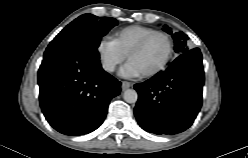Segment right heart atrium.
<instances>
[{
    "mask_svg": "<svg viewBox=\"0 0 248 158\" xmlns=\"http://www.w3.org/2000/svg\"><path fill=\"white\" fill-rule=\"evenodd\" d=\"M97 53L102 68L110 73L114 72L117 66L122 64L127 56L113 40L108 38L99 40L97 44Z\"/></svg>",
    "mask_w": 248,
    "mask_h": 158,
    "instance_id": "1",
    "label": "right heart atrium"
}]
</instances>
